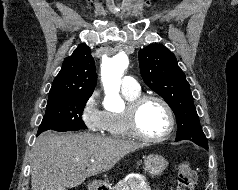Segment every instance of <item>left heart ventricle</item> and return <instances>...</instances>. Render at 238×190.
I'll list each match as a JSON object with an SVG mask.
<instances>
[{"mask_svg":"<svg viewBox=\"0 0 238 190\" xmlns=\"http://www.w3.org/2000/svg\"><path fill=\"white\" fill-rule=\"evenodd\" d=\"M140 129L149 136H160L169 127V118L162 105L155 101L147 102L138 115Z\"/></svg>","mask_w":238,"mask_h":190,"instance_id":"left-heart-ventricle-1","label":"left heart ventricle"}]
</instances>
